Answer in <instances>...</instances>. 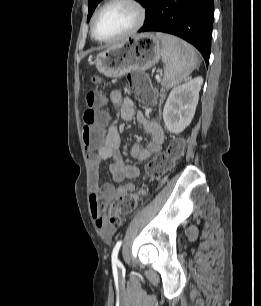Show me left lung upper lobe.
Masks as SVG:
<instances>
[{"instance_id": "1", "label": "left lung upper lobe", "mask_w": 261, "mask_h": 306, "mask_svg": "<svg viewBox=\"0 0 261 306\" xmlns=\"http://www.w3.org/2000/svg\"><path fill=\"white\" fill-rule=\"evenodd\" d=\"M101 1L102 0H88V5H89V12L87 17L88 21L90 20V17L93 14V11L95 10L96 6ZM136 1H138L143 7H146L150 0H136Z\"/></svg>"}]
</instances>
